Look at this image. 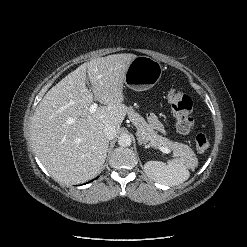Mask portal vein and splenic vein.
<instances>
[{"label": "portal vein and splenic vein", "mask_w": 247, "mask_h": 247, "mask_svg": "<svg viewBox=\"0 0 247 247\" xmlns=\"http://www.w3.org/2000/svg\"><path fill=\"white\" fill-rule=\"evenodd\" d=\"M97 107H98L97 103H93L89 107L90 113H94L97 110ZM158 148L160 149V151H162L163 153H166V154H169L171 152L170 149H168L166 147L159 146Z\"/></svg>", "instance_id": "portal-vein-and-splenic-vein-1"}]
</instances>
